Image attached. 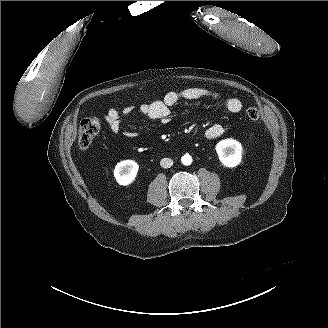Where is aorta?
Here are the masks:
<instances>
[{"label": "aorta", "mask_w": 328, "mask_h": 328, "mask_svg": "<svg viewBox=\"0 0 328 328\" xmlns=\"http://www.w3.org/2000/svg\"><path fill=\"white\" fill-rule=\"evenodd\" d=\"M181 162L185 166L191 165L192 157L189 154H185L184 156H182Z\"/></svg>", "instance_id": "762f6f07"}]
</instances>
